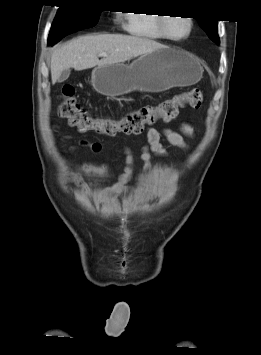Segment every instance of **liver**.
Segmentation results:
<instances>
[{
	"label": "liver",
	"instance_id": "obj_1",
	"mask_svg": "<svg viewBox=\"0 0 261 355\" xmlns=\"http://www.w3.org/2000/svg\"><path fill=\"white\" fill-rule=\"evenodd\" d=\"M161 47L163 45L154 40L131 35L97 34L77 37L53 49L50 62L52 84L56 83L65 69L81 71L122 63ZM102 52L107 53V56L99 60Z\"/></svg>",
	"mask_w": 261,
	"mask_h": 355
}]
</instances>
